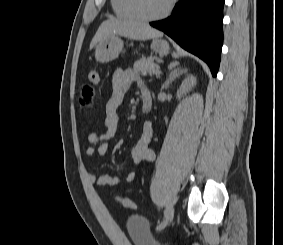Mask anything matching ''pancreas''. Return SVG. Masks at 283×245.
<instances>
[{
	"mask_svg": "<svg viewBox=\"0 0 283 245\" xmlns=\"http://www.w3.org/2000/svg\"><path fill=\"white\" fill-rule=\"evenodd\" d=\"M154 60H156V58L152 56L148 58L142 57L140 60H137L134 63L133 69L135 72L141 73L143 75L147 73L152 74L153 70L158 67V65L154 63Z\"/></svg>",
	"mask_w": 283,
	"mask_h": 245,
	"instance_id": "obj_1",
	"label": "pancreas"
}]
</instances>
